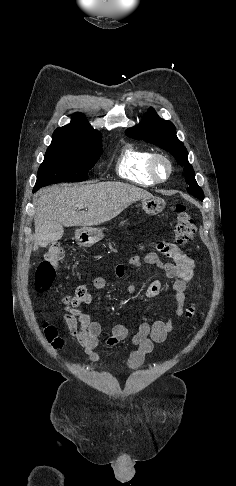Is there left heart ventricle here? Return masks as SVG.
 Here are the masks:
<instances>
[{"mask_svg": "<svg viewBox=\"0 0 236 486\" xmlns=\"http://www.w3.org/2000/svg\"><path fill=\"white\" fill-rule=\"evenodd\" d=\"M168 168L163 161L157 163V173L160 177H165L167 175Z\"/></svg>", "mask_w": 236, "mask_h": 486, "instance_id": "1", "label": "left heart ventricle"}]
</instances>
